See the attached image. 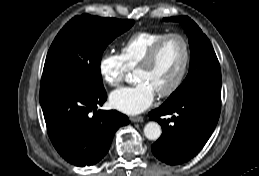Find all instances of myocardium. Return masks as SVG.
Segmentation results:
<instances>
[{
  "label": "myocardium",
  "mask_w": 259,
  "mask_h": 176,
  "mask_svg": "<svg viewBox=\"0 0 259 176\" xmlns=\"http://www.w3.org/2000/svg\"><path fill=\"white\" fill-rule=\"evenodd\" d=\"M170 38H177L182 42L183 49H184V59H183V63L180 68V71L177 77L175 78V80L167 88L157 92V95L162 98L169 97L173 93H175L182 85L186 77V74L189 69L190 61H191V49H190V43L188 39L184 35L179 33H166L151 47V49L148 51L145 57L136 66V70H137V69L146 68L152 65L155 62L162 45Z\"/></svg>",
  "instance_id": "1"
}]
</instances>
